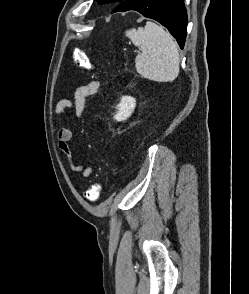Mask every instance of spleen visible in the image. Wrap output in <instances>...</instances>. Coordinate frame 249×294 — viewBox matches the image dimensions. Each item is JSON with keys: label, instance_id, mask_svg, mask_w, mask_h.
I'll return each instance as SVG.
<instances>
[{"label": "spleen", "instance_id": "3e777b00", "mask_svg": "<svg viewBox=\"0 0 249 294\" xmlns=\"http://www.w3.org/2000/svg\"><path fill=\"white\" fill-rule=\"evenodd\" d=\"M125 34L140 50L135 58V67L142 77L157 82H171L177 78L179 52L170 33L148 21L144 28H132Z\"/></svg>", "mask_w": 249, "mask_h": 294}]
</instances>
